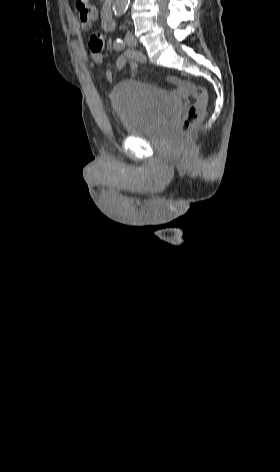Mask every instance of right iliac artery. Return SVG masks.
<instances>
[{
	"label": "right iliac artery",
	"mask_w": 280,
	"mask_h": 472,
	"mask_svg": "<svg viewBox=\"0 0 280 472\" xmlns=\"http://www.w3.org/2000/svg\"><path fill=\"white\" fill-rule=\"evenodd\" d=\"M129 59L135 60L140 63H145L146 62V57L143 55L142 52L134 50V49H128L124 53Z\"/></svg>",
	"instance_id": "1"
}]
</instances>
